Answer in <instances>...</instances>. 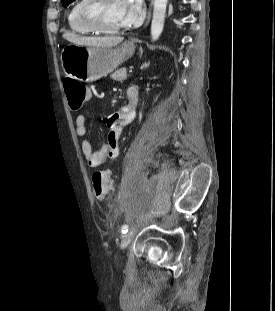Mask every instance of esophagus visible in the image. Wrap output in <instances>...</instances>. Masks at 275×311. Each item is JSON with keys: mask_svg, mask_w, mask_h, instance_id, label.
<instances>
[{"mask_svg": "<svg viewBox=\"0 0 275 311\" xmlns=\"http://www.w3.org/2000/svg\"><path fill=\"white\" fill-rule=\"evenodd\" d=\"M150 18H151V8H150V10H149V13H148V17H147V21H146V23H145V26L148 25V23H149V21H150Z\"/></svg>", "mask_w": 275, "mask_h": 311, "instance_id": "esophagus-1", "label": "esophagus"}]
</instances>
